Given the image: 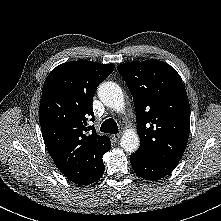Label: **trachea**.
Returning <instances> with one entry per match:
<instances>
[{
  "instance_id": "trachea-1",
  "label": "trachea",
  "mask_w": 221,
  "mask_h": 221,
  "mask_svg": "<svg viewBox=\"0 0 221 221\" xmlns=\"http://www.w3.org/2000/svg\"><path fill=\"white\" fill-rule=\"evenodd\" d=\"M100 131L104 133L116 134L118 133L117 123L112 118L106 119L102 123Z\"/></svg>"
}]
</instances>
